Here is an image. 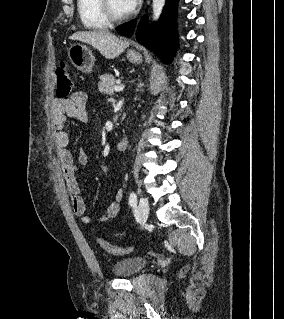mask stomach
Wrapping results in <instances>:
<instances>
[{"label":"stomach","instance_id":"1","mask_svg":"<svg viewBox=\"0 0 284 319\" xmlns=\"http://www.w3.org/2000/svg\"><path fill=\"white\" fill-rule=\"evenodd\" d=\"M68 56L71 63L83 73H90L94 65V56L89 47L75 43L68 49ZM127 59L134 64L142 62V56L139 53H127Z\"/></svg>","mask_w":284,"mask_h":319}]
</instances>
